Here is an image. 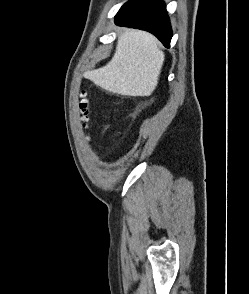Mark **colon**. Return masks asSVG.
<instances>
[{
	"label": "colon",
	"instance_id": "colon-1",
	"mask_svg": "<svg viewBox=\"0 0 249 294\" xmlns=\"http://www.w3.org/2000/svg\"><path fill=\"white\" fill-rule=\"evenodd\" d=\"M80 109H81V112H82L83 120L85 122H87L88 118H89L88 117L89 116V101L86 98L85 94H82V101H81V104H80Z\"/></svg>",
	"mask_w": 249,
	"mask_h": 294
}]
</instances>
